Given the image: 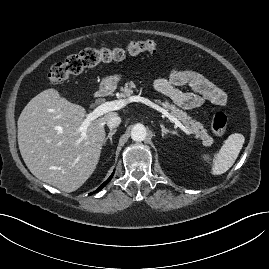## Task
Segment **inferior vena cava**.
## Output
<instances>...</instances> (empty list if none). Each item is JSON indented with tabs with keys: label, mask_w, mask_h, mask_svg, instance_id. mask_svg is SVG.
<instances>
[{
	"label": "inferior vena cava",
	"mask_w": 269,
	"mask_h": 269,
	"mask_svg": "<svg viewBox=\"0 0 269 269\" xmlns=\"http://www.w3.org/2000/svg\"><path fill=\"white\" fill-rule=\"evenodd\" d=\"M120 123H121V118L118 115H112L106 121L107 126L111 129L118 127Z\"/></svg>",
	"instance_id": "602c4592"
}]
</instances>
